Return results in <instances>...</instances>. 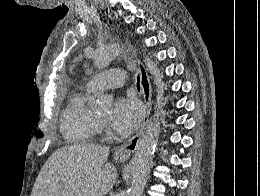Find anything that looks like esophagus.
<instances>
[{"label": "esophagus", "mask_w": 260, "mask_h": 196, "mask_svg": "<svg viewBox=\"0 0 260 196\" xmlns=\"http://www.w3.org/2000/svg\"><path fill=\"white\" fill-rule=\"evenodd\" d=\"M129 49L132 50L130 45H129ZM137 64H138V73L140 76V87L143 93V100L145 103V115L143 117L141 127L136 133V135L133 136V138L128 140L126 143L122 144L121 146H118V148L115 149L114 158L121 159V160L124 158H128L137 149L141 139V135L149 119V115L152 108V101H151L152 88L149 81V77L147 75V71L143 63L141 62V60L137 59Z\"/></svg>", "instance_id": "obj_1"}]
</instances>
